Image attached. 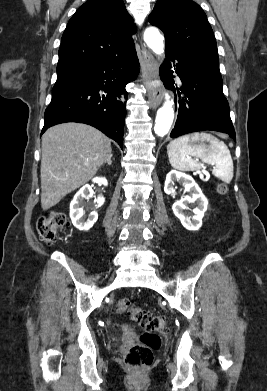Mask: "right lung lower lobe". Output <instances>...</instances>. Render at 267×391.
Returning a JSON list of instances; mask_svg holds the SVG:
<instances>
[{
	"mask_svg": "<svg viewBox=\"0 0 267 391\" xmlns=\"http://www.w3.org/2000/svg\"><path fill=\"white\" fill-rule=\"evenodd\" d=\"M138 70L133 49L58 77L41 134L59 123H85L102 131L122 148L126 109L116 97L126 96L125 86L135 79ZM101 91L107 94L102 95Z\"/></svg>",
	"mask_w": 267,
	"mask_h": 391,
	"instance_id": "right-lung-lower-lobe-1",
	"label": "right lung lower lobe"
}]
</instances>
